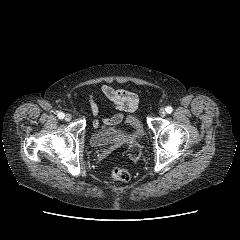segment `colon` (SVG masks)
<instances>
[{"mask_svg":"<svg viewBox=\"0 0 240 240\" xmlns=\"http://www.w3.org/2000/svg\"><path fill=\"white\" fill-rule=\"evenodd\" d=\"M140 155V148L137 144H132L129 147V156L136 160ZM111 177L119 182H128L130 180V174L127 170L122 168H114L111 171Z\"/></svg>","mask_w":240,"mask_h":240,"instance_id":"1","label":"colon"}]
</instances>
